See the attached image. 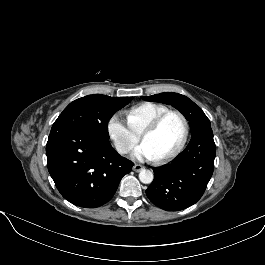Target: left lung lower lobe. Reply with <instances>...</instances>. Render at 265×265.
<instances>
[{
    "mask_svg": "<svg viewBox=\"0 0 265 265\" xmlns=\"http://www.w3.org/2000/svg\"><path fill=\"white\" fill-rule=\"evenodd\" d=\"M216 155L211 126L192 133L186 149L172 162L153 168L154 180L146 190L152 203L166 211L195 204L213 174Z\"/></svg>",
    "mask_w": 265,
    "mask_h": 265,
    "instance_id": "obj_1",
    "label": "left lung lower lobe"
}]
</instances>
